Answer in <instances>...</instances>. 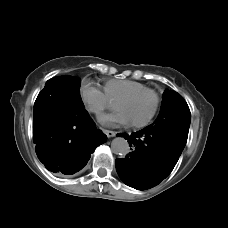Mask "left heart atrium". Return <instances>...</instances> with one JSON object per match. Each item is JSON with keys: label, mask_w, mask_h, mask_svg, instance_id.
<instances>
[{"label": "left heart atrium", "mask_w": 228, "mask_h": 228, "mask_svg": "<svg viewBox=\"0 0 228 228\" xmlns=\"http://www.w3.org/2000/svg\"><path fill=\"white\" fill-rule=\"evenodd\" d=\"M114 117L117 118L119 120V122L122 123V124L126 123L127 119H128L127 115L124 114L123 112H121V115L116 113L114 115Z\"/></svg>", "instance_id": "1"}]
</instances>
